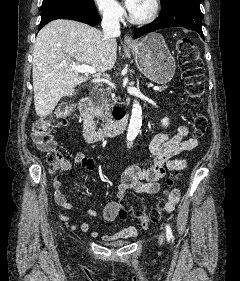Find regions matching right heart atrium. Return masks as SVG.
<instances>
[{"label":"right heart atrium","mask_w":240,"mask_h":281,"mask_svg":"<svg viewBox=\"0 0 240 281\" xmlns=\"http://www.w3.org/2000/svg\"><path fill=\"white\" fill-rule=\"evenodd\" d=\"M94 5L102 17L111 22L119 21L124 14L117 0H94Z\"/></svg>","instance_id":"obj_1"}]
</instances>
